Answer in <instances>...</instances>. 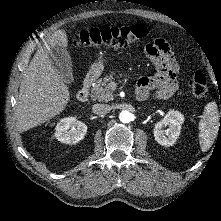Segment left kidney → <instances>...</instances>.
I'll list each match as a JSON object with an SVG mask.
<instances>
[{"label": "left kidney", "mask_w": 221, "mask_h": 221, "mask_svg": "<svg viewBox=\"0 0 221 221\" xmlns=\"http://www.w3.org/2000/svg\"><path fill=\"white\" fill-rule=\"evenodd\" d=\"M184 116L179 111L170 110L166 116L154 127L155 140L164 146H172L179 137ZM169 126L167 130L164 127Z\"/></svg>", "instance_id": "5707ae66"}]
</instances>
